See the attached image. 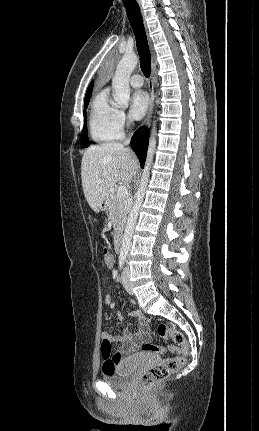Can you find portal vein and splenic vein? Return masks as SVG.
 I'll return each instance as SVG.
<instances>
[{
    "mask_svg": "<svg viewBox=\"0 0 259 431\" xmlns=\"http://www.w3.org/2000/svg\"><path fill=\"white\" fill-rule=\"evenodd\" d=\"M117 195L119 197H125L126 195H128V190L125 186H119L117 188Z\"/></svg>",
    "mask_w": 259,
    "mask_h": 431,
    "instance_id": "18ae733b",
    "label": "portal vein and splenic vein"
}]
</instances>
